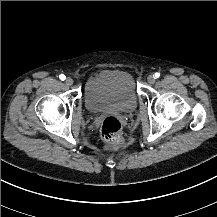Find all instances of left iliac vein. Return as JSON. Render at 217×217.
I'll list each match as a JSON object with an SVG mask.
<instances>
[{"instance_id":"left-iliac-vein-1","label":"left iliac vein","mask_w":217,"mask_h":217,"mask_svg":"<svg viewBox=\"0 0 217 217\" xmlns=\"http://www.w3.org/2000/svg\"><path fill=\"white\" fill-rule=\"evenodd\" d=\"M147 81L149 84H154L155 83V77L153 75H149L147 77Z\"/></svg>"}]
</instances>
